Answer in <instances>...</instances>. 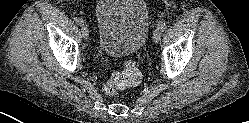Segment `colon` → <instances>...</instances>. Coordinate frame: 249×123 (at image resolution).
Returning a JSON list of instances; mask_svg holds the SVG:
<instances>
[{
  "instance_id": "colon-1",
  "label": "colon",
  "mask_w": 249,
  "mask_h": 123,
  "mask_svg": "<svg viewBox=\"0 0 249 123\" xmlns=\"http://www.w3.org/2000/svg\"><path fill=\"white\" fill-rule=\"evenodd\" d=\"M141 80V74L134 61H126L120 72L113 73L103 84L107 95H116L128 86L136 85Z\"/></svg>"
}]
</instances>
